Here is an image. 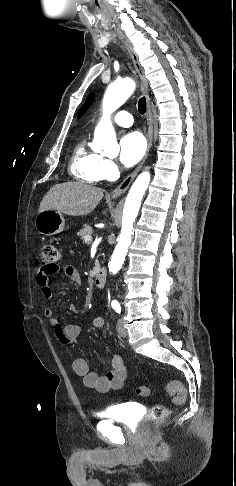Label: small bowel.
Returning <instances> with one entry per match:
<instances>
[{
	"label": "small bowel",
	"mask_w": 236,
	"mask_h": 486,
	"mask_svg": "<svg viewBox=\"0 0 236 486\" xmlns=\"http://www.w3.org/2000/svg\"><path fill=\"white\" fill-rule=\"evenodd\" d=\"M57 271V266L52 270H45L41 267L37 271L36 282L46 299H51L53 297L50 277ZM64 273L74 283L81 285L80 275L74 267L65 266ZM44 314L50 319V323L55 329L56 336L60 342L69 343L76 340L81 332V326L79 324L62 325L59 320L54 317L53 309L49 306L44 309ZM104 323L105 319L102 316L93 319V326L96 328L102 327ZM72 367L74 372L82 377L83 384L87 388L94 389L100 393H106L112 389H120L126 379V368L123 359L119 355H114L112 357L109 369L103 375L90 371L88 363L82 358L75 359L72 363Z\"/></svg>",
	"instance_id": "c3829d8e"
}]
</instances>
